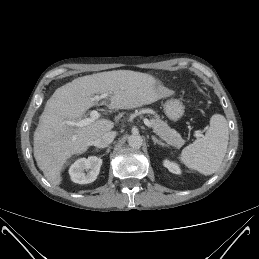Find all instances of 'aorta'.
<instances>
[{
  "mask_svg": "<svg viewBox=\"0 0 259 259\" xmlns=\"http://www.w3.org/2000/svg\"><path fill=\"white\" fill-rule=\"evenodd\" d=\"M128 144L132 148H140L143 144V138L139 134H133L129 136Z\"/></svg>",
  "mask_w": 259,
  "mask_h": 259,
  "instance_id": "762f6f07",
  "label": "aorta"
}]
</instances>
